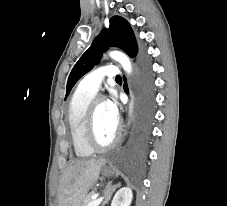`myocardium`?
<instances>
[{"instance_id": "f54148a6", "label": "myocardium", "mask_w": 227, "mask_h": 206, "mask_svg": "<svg viewBox=\"0 0 227 206\" xmlns=\"http://www.w3.org/2000/svg\"><path fill=\"white\" fill-rule=\"evenodd\" d=\"M100 102H103V98L100 96L94 97L90 102L86 117H85V124H84V136L87 145L95 151H105L113 147L120 138V128L119 126L116 127L115 134L112 140L107 144H101L97 137H96V130H95V119H96V109Z\"/></svg>"}]
</instances>
